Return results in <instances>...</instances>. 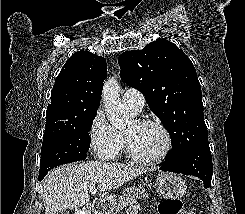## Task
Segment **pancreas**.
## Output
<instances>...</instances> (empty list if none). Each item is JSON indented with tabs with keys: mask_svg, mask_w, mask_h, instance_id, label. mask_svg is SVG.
Returning a JSON list of instances; mask_svg holds the SVG:
<instances>
[{
	"mask_svg": "<svg viewBox=\"0 0 245 214\" xmlns=\"http://www.w3.org/2000/svg\"><path fill=\"white\" fill-rule=\"evenodd\" d=\"M149 195L146 193V189L139 185V186H131L127 187L122 194L119 196L118 202H113L109 206V213L108 214H116L117 211L121 210L126 205H129L135 202L137 199H146Z\"/></svg>",
	"mask_w": 245,
	"mask_h": 214,
	"instance_id": "obj_1",
	"label": "pancreas"
}]
</instances>
